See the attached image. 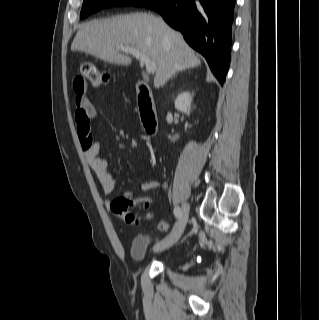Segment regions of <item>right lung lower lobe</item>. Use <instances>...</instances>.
I'll list each match as a JSON object with an SVG mask.
<instances>
[{"label":"right lung lower lobe","instance_id":"right-lung-lower-lobe-1","mask_svg":"<svg viewBox=\"0 0 319 320\" xmlns=\"http://www.w3.org/2000/svg\"><path fill=\"white\" fill-rule=\"evenodd\" d=\"M236 0H152L142 6L159 12L188 44L207 60L223 84L231 51V27Z\"/></svg>","mask_w":319,"mask_h":320}]
</instances>
